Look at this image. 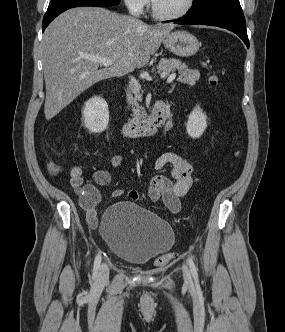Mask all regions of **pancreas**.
<instances>
[{"label":"pancreas","mask_w":285,"mask_h":332,"mask_svg":"<svg viewBox=\"0 0 285 332\" xmlns=\"http://www.w3.org/2000/svg\"><path fill=\"white\" fill-rule=\"evenodd\" d=\"M157 68L159 73H165L166 75H169L174 70H178L180 75L178 76L177 81L191 86L195 85L196 81L199 80L200 77L199 71L187 69L186 65L182 64L181 61L173 58L161 59ZM133 92L135 94L136 100H140L141 94L139 93L138 89L135 88ZM135 105L136 109L133 111V122L138 121L143 116L142 109L136 103V101Z\"/></svg>","instance_id":"obj_1"}]
</instances>
